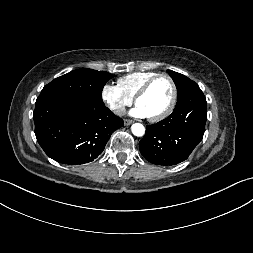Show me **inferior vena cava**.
Instances as JSON below:
<instances>
[{
  "label": "inferior vena cava",
  "mask_w": 253,
  "mask_h": 253,
  "mask_svg": "<svg viewBox=\"0 0 253 253\" xmlns=\"http://www.w3.org/2000/svg\"><path fill=\"white\" fill-rule=\"evenodd\" d=\"M111 109L114 110L117 114H123L125 113V107L124 106H111Z\"/></svg>",
  "instance_id": "602c4592"
}]
</instances>
